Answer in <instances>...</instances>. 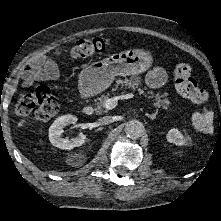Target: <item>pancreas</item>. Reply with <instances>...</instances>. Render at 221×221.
I'll return each instance as SVG.
<instances>
[{
    "instance_id": "cf45deb5",
    "label": "pancreas",
    "mask_w": 221,
    "mask_h": 221,
    "mask_svg": "<svg viewBox=\"0 0 221 221\" xmlns=\"http://www.w3.org/2000/svg\"><path fill=\"white\" fill-rule=\"evenodd\" d=\"M116 83H117L116 88H118V86L120 85L121 89L128 88L131 90H135L141 84V80L140 77L133 76L130 79L126 78L125 80L118 79ZM138 91L140 94L144 93V91L140 88L138 89ZM147 94H150V98L154 99L155 106H163V107L168 106L169 101L167 98H164L165 97L164 95L154 94L153 91H148ZM108 99H109L108 95H101V97L98 98L97 107L94 109L97 115L107 112V110L104 109V106L106 100Z\"/></svg>"
}]
</instances>
